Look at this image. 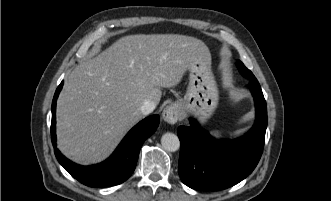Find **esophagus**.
Instances as JSON below:
<instances>
[{"label": "esophagus", "instance_id": "obj_1", "mask_svg": "<svg viewBox=\"0 0 331 201\" xmlns=\"http://www.w3.org/2000/svg\"><path fill=\"white\" fill-rule=\"evenodd\" d=\"M180 109L177 105H168L162 112V119L169 123L175 124L180 118Z\"/></svg>", "mask_w": 331, "mask_h": 201}]
</instances>
